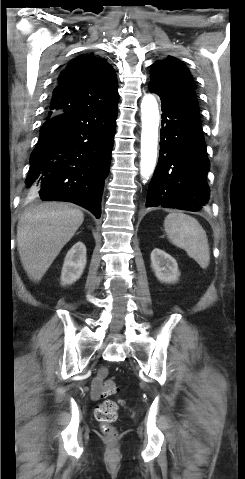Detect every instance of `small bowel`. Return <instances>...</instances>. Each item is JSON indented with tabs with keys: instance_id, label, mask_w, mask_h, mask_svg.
<instances>
[{
	"instance_id": "c3829d8e",
	"label": "small bowel",
	"mask_w": 245,
	"mask_h": 479,
	"mask_svg": "<svg viewBox=\"0 0 245 479\" xmlns=\"http://www.w3.org/2000/svg\"><path fill=\"white\" fill-rule=\"evenodd\" d=\"M107 369L101 368L96 377L93 379L91 384V397L94 400H98L103 397L105 394L103 392V380L107 376Z\"/></svg>"
}]
</instances>
